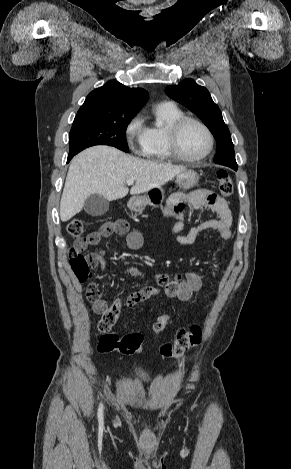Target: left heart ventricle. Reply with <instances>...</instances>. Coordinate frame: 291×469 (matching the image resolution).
<instances>
[{
  "label": "left heart ventricle",
  "instance_id": "obj_1",
  "mask_svg": "<svg viewBox=\"0 0 291 469\" xmlns=\"http://www.w3.org/2000/svg\"><path fill=\"white\" fill-rule=\"evenodd\" d=\"M179 146L183 155L196 158L206 151L208 138L200 126L195 123H187L181 130Z\"/></svg>",
  "mask_w": 291,
  "mask_h": 469
}]
</instances>
